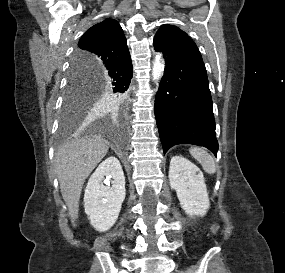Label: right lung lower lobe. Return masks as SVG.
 Masks as SVG:
<instances>
[{"instance_id": "right-lung-lower-lobe-1", "label": "right lung lower lobe", "mask_w": 285, "mask_h": 273, "mask_svg": "<svg viewBox=\"0 0 285 273\" xmlns=\"http://www.w3.org/2000/svg\"><path fill=\"white\" fill-rule=\"evenodd\" d=\"M132 62L130 55L123 60L107 63L105 66L97 68L95 77L98 86L114 93H124L130 85L132 79ZM118 102H111L110 106H115Z\"/></svg>"}]
</instances>
